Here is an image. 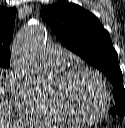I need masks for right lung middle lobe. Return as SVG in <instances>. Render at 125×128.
Wrapping results in <instances>:
<instances>
[{"label": "right lung middle lobe", "instance_id": "dd1d6c3e", "mask_svg": "<svg viewBox=\"0 0 125 128\" xmlns=\"http://www.w3.org/2000/svg\"><path fill=\"white\" fill-rule=\"evenodd\" d=\"M10 64H9V60H0V68H9Z\"/></svg>", "mask_w": 125, "mask_h": 128}]
</instances>
